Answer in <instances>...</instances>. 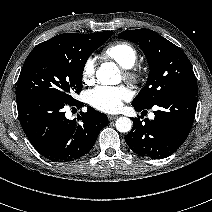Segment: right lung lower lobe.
<instances>
[{"instance_id": "98d812e1", "label": "right lung lower lobe", "mask_w": 212, "mask_h": 212, "mask_svg": "<svg viewBox=\"0 0 212 212\" xmlns=\"http://www.w3.org/2000/svg\"><path fill=\"white\" fill-rule=\"evenodd\" d=\"M21 126L33 147L46 159L69 162L87 154L94 146L99 132L107 125L108 117L88 107L76 119L68 120L65 105L82 107L83 103L64 102L47 94L16 96Z\"/></svg>"}]
</instances>
